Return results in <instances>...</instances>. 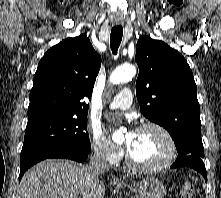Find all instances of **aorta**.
I'll list each match as a JSON object with an SVG mask.
<instances>
[{
    "instance_id": "obj_1",
    "label": "aorta",
    "mask_w": 221,
    "mask_h": 198,
    "mask_svg": "<svg viewBox=\"0 0 221 198\" xmlns=\"http://www.w3.org/2000/svg\"><path fill=\"white\" fill-rule=\"evenodd\" d=\"M136 74V68L132 65H124L121 67L116 68L111 76H110V82L112 84H120V83H126L133 79V77ZM122 137V131L115 130L113 132V140H117L118 138Z\"/></svg>"
}]
</instances>
